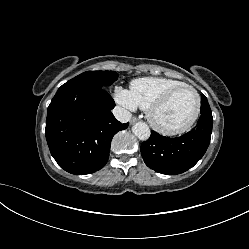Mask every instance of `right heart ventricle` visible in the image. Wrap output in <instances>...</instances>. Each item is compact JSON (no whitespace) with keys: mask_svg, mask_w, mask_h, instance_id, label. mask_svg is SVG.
<instances>
[{"mask_svg":"<svg viewBox=\"0 0 249 249\" xmlns=\"http://www.w3.org/2000/svg\"><path fill=\"white\" fill-rule=\"evenodd\" d=\"M182 84L185 83L171 78L142 77L131 82L129 91L136 105L142 109H147L166 91Z\"/></svg>","mask_w":249,"mask_h":249,"instance_id":"1","label":"right heart ventricle"}]
</instances>
